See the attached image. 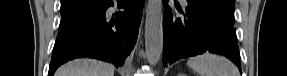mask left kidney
<instances>
[{
	"label": "left kidney",
	"mask_w": 287,
	"mask_h": 76,
	"mask_svg": "<svg viewBox=\"0 0 287 76\" xmlns=\"http://www.w3.org/2000/svg\"><path fill=\"white\" fill-rule=\"evenodd\" d=\"M179 76H185V74H179Z\"/></svg>",
	"instance_id": "left-kidney-1"
}]
</instances>
